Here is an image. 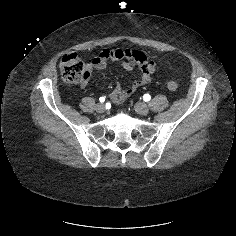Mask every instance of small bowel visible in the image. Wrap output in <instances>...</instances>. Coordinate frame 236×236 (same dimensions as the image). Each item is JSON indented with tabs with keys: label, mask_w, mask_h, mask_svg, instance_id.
Returning <instances> with one entry per match:
<instances>
[{
	"label": "small bowel",
	"mask_w": 236,
	"mask_h": 236,
	"mask_svg": "<svg viewBox=\"0 0 236 236\" xmlns=\"http://www.w3.org/2000/svg\"><path fill=\"white\" fill-rule=\"evenodd\" d=\"M109 60L119 61L121 68L125 71H130L135 66H138L140 69V76L128 88H123L120 84L116 85L110 95L115 102H121L131 96L138 88L149 83L152 76L158 71L156 63L144 52L122 48L113 50L103 49L90 61V72L93 73L94 71L105 69ZM84 86L85 82L81 84V87Z\"/></svg>",
	"instance_id": "1"
}]
</instances>
